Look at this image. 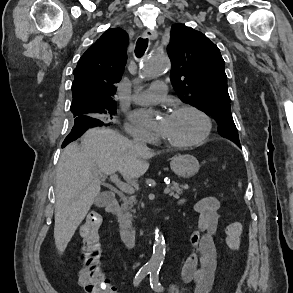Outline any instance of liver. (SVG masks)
Listing matches in <instances>:
<instances>
[{
    "label": "liver",
    "mask_w": 293,
    "mask_h": 293,
    "mask_svg": "<svg viewBox=\"0 0 293 293\" xmlns=\"http://www.w3.org/2000/svg\"><path fill=\"white\" fill-rule=\"evenodd\" d=\"M154 152L136 147L118 132L92 128L62 152L56 170L54 238L64 252L77 227L100 194L101 176L116 172L139 178L149 168Z\"/></svg>",
    "instance_id": "obj_1"
}]
</instances>
